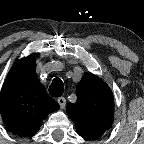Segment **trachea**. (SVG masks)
Masks as SVG:
<instances>
[{"label": "trachea", "instance_id": "1", "mask_svg": "<svg viewBox=\"0 0 144 144\" xmlns=\"http://www.w3.org/2000/svg\"><path fill=\"white\" fill-rule=\"evenodd\" d=\"M63 92H64V85L62 80L60 78H55L49 87V93L53 97H60L63 95Z\"/></svg>", "mask_w": 144, "mask_h": 144}]
</instances>
